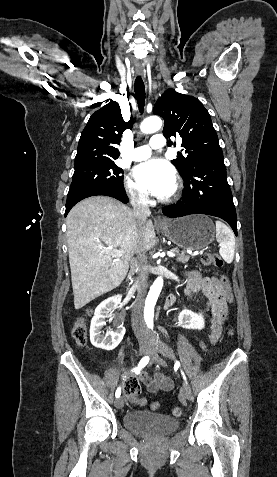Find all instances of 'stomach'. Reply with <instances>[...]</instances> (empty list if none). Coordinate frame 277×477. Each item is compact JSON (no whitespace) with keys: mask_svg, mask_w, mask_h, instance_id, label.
<instances>
[{"mask_svg":"<svg viewBox=\"0 0 277 477\" xmlns=\"http://www.w3.org/2000/svg\"><path fill=\"white\" fill-rule=\"evenodd\" d=\"M160 229L165 236L185 250L206 248L215 236L212 220L205 215H190L167 222Z\"/></svg>","mask_w":277,"mask_h":477,"instance_id":"0dacf381","label":"stomach"}]
</instances>
